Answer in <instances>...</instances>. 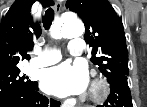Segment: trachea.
I'll use <instances>...</instances> for the list:
<instances>
[{"instance_id": "obj_1", "label": "trachea", "mask_w": 147, "mask_h": 107, "mask_svg": "<svg viewBox=\"0 0 147 107\" xmlns=\"http://www.w3.org/2000/svg\"><path fill=\"white\" fill-rule=\"evenodd\" d=\"M53 19H54V10L52 8H48L45 11V16L43 18V26L46 30L50 29Z\"/></svg>"}]
</instances>
